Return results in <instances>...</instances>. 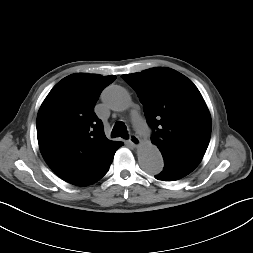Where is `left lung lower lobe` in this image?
Instances as JSON below:
<instances>
[{"label": "left lung lower lobe", "mask_w": 253, "mask_h": 253, "mask_svg": "<svg viewBox=\"0 0 253 253\" xmlns=\"http://www.w3.org/2000/svg\"><path fill=\"white\" fill-rule=\"evenodd\" d=\"M196 167L197 165L193 163L164 159V169L155 178L162 181H175L188 175Z\"/></svg>", "instance_id": "1"}]
</instances>
